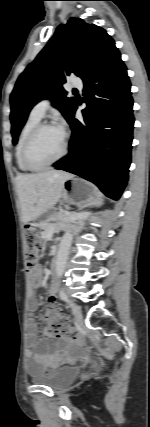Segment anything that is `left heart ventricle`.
Listing matches in <instances>:
<instances>
[{"mask_svg":"<svg viewBox=\"0 0 150 427\" xmlns=\"http://www.w3.org/2000/svg\"><path fill=\"white\" fill-rule=\"evenodd\" d=\"M63 145L64 132L60 128L43 129L29 147V161L35 166L46 164L61 153Z\"/></svg>","mask_w":150,"mask_h":427,"instance_id":"left-heart-ventricle-1","label":"left heart ventricle"}]
</instances>
